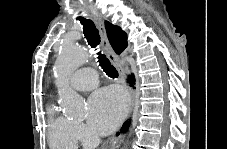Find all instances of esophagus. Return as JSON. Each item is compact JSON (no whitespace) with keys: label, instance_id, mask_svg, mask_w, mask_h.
Segmentation results:
<instances>
[{"label":"esophagus","instance_id":"34e87169","mask_svg":"<svg viewBox=\"0 0 227 149\" xmlns=\"http://www.w3.org/2000/svg\"><path fill=\"white\" fill-rule=\"evenodd\" d=\"M98 28L100 31V35H101V44L102 47L104 48L109 60L111 61V63L116 67L117 71L120 74V77L122 78L123 81L127 80V75L126 72L123 68V66L118 62V58L117 55L115 54V52L113 51L108 38L106 36V32H105V28H104V24L103 21L101 19L98 20ZM131 93V97H132V103L130 106V110H129V114L132 113L133 109H134V103H135V95H134V91L131 87H128Z\"/></svg>","mask_w":227,"mask_h":149}]
</instances>
